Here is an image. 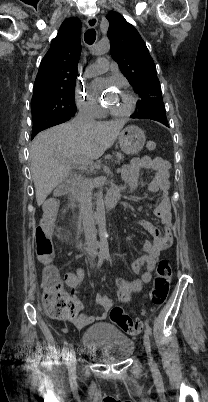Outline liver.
<instances>
[{
	"label": "liver",
	"instance_id": "6515ba94",
	"mask_svg": "<svg viewBox=\"0 0 208 402\" xmlns=\"http://www.w3.org/2000/svg\"><path fill=\"white\" fill-rule=\"evenodd\" d=\"M125 124V120L92 122L86 126L68 122L38 134L30 150L37 206H42L52 190L69 178L71 164L101 158L113 146Z\"/></svg>",
	"mask_w": 208,
	"mask_h": 402
}]
</instances>
